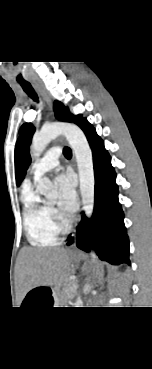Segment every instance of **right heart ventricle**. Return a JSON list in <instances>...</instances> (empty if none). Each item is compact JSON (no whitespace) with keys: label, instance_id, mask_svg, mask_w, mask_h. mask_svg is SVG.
<instances>
[{"label":"right heart ventricle","instance_id":"right-heart-ventricle-1","mask_svg":"<svg viewBox=\"0 0 152 369\" xmlns=\"http://www.w3.org/2000/svg\"><path fill=\"white\" fill-rule=\"evenodd\" d=\"M23 225L28 241L33 246H52L58 242L61 233L54 221L53 210L40 201L32 189L22 194Z\"/></svg>","mask_w":152,"mask_h":369}]
</instances>
